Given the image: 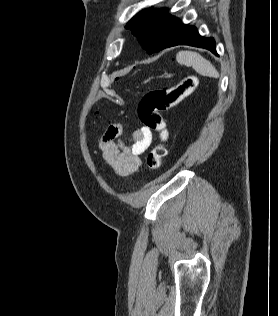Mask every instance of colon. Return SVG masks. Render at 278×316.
Returning a JSON list of instances; mask_svg holds the SVG:
<instances>
[{
    "label": "colon",
    "instance_id": "1",
    "mask_svg": "<svg viewBox=\"0 0 278 316\" xmlns=\"http://www.w3.org/2000/svg\"><path fill=\"white\" fill-rule=\"evenodd\" d=\"M197 85V76L187 75L171 87L146 92L140 100L138 105L139 119L147 128L156 132L159 138V142L147 156V165L151 170L160 169L167 154L168 131L162 112L174 107L189 96Z\"/></svg>",
    "mask_w": 278,
    "mask_h": 316
}]
</instances>
